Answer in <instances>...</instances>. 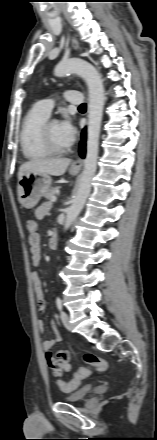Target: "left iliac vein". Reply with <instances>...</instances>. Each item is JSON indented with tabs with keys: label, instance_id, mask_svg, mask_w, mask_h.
<instances>
[{
	"label": "left iliac vein",
	"instance_id": "left-iliac-vein-1",
	"mask_svg": "<svg viewBox=\"0 0 157 440\" xmlns=\"http://www.w3.org/2000/svg\"><path fill=\"white\" fill-rule=\"evenodd\" d=\"M60 317H61V320H62L64 326H65L68 330H71V324H70V321H69V316H68V314H67L65 311H61V312H60Z\"/></svg>",
	"mask_w": 157,
	"mask_h": 440
}]
</instances>
